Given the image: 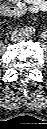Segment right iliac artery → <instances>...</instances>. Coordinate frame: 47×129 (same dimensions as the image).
Segmentation results:
<instances>
[{
	"mask_svg": "<svg viewBox=\"0 0 47 129\" xmlns=\"http://www.w3.org/2000/svg\"><path fill=\"white\" fill-rule=\"evenodd\" d=\"M25 31L29 34L34 33L35 29L33 27H26Z\"/></svg>",
	"mask_w": 47,
	"mask_h": 129,
	"instance_id": "obj_1",
	"label": "right iliac artery"
}]
</instances>
